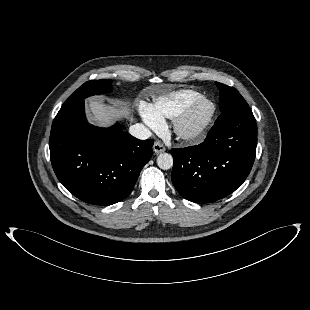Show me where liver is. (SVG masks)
<instances>
[{"instance_id":"liver-1","label":"liver","mask_w":310,"mask_h":310,"mask_svg":"<svg viewBox=\"0 0 310 310\" xmlns=\"http://www.w3.org/2000/svg\"><path fill=\"white\" fill-rule=\"evenodd\" d=\"M88 107L93 123L102 127L112 124L115 118L128 117L131 113V109L127 105L116 108L97 99H89ZM130 119L133 120L132 117Z\"/></svg>"}]
</instances>
